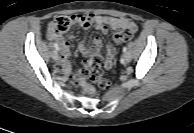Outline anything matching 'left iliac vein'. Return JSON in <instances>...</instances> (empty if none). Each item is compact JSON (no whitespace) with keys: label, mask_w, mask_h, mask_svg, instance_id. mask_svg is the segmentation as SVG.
<instances>
[{"label":"left iliac vein","mask_w":194,"mask_h":133,"mask_svg":"<svg viewBox=\"0 0 194 133\" xmlns=\"http://www.w3.org/2000/svg\"><path fill=\"white\" fill-rule=\"evenodd\" d=\"M131 61L130 53H125L123 56V63H129Z\"/></svg>","instance_id":"4c4485c4"}]
</instances>
